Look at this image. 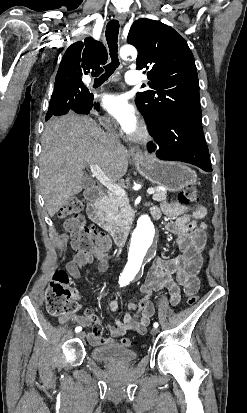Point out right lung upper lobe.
Wrapping results in <instances>:
<instances>
[{
  "instance_id": "right-lung-upper-lobe-1",
  "label": "right lung upper lobe",
  "mask_w": 247,
  "mask_h": 413,
  "mask_svg": "<svg viewBox=\"0 0 247 413\" xmlns=\"http://www.w3.org/2000/svg\"><path fill=\"white\" fill-rule=\"evenodd\" d=\"M108 56L104 45L88 37L84 42L72 44L65 52L60 63L56 82L81 81L82 74L102 72L99 67L107 62Z\"/></svg>"
}]
</instances>
